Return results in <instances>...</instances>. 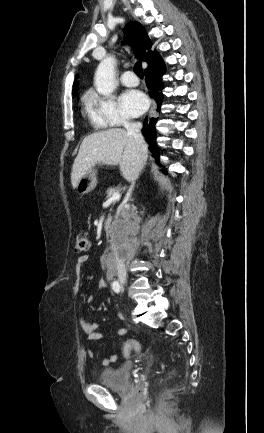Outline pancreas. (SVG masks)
I'll use <instances>...</instances> for the list:
<instances>
[{
  "instance_id": "pancreas-1",
  "label": "pancreas",
  "mask_w": 264,
  "mask_h": 433,
  "mask_svg": "<svg viewBox=\"0 0 264 433\" xmlns=\"http://www.w3.org/2000/svg\"><path fill=\"white\" fill-rule=\"evenodd\" d=\"M119 191H120V189L118 187L117 188H114V187L108 188L106 191V197L107 198L111 197L113 193L119 192Z\"/></svg>"
}]
</instances>
